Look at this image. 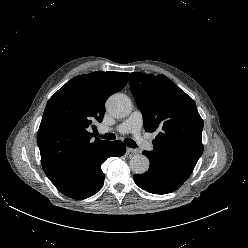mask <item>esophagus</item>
<instances>
[{
	"label": "esophagus",
	"instance_id": "1",
	"mask_svg": "<svg viewBox=\"0 0 248 248\" xmlns=\"http://www.w3.org/2000/svg\"><path fill=\"white\" fill-rule=\"evenodd\" d=\"M136 153H137L136 149L127 148V150H126V155L129 156V157L135 155Z\"/></svg>",
	"mask_w": 248,
	"mask_h": 248
}]
</instances>
